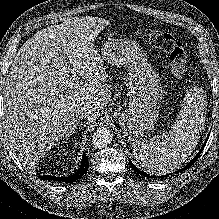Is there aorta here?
Returning <instances> with one entry per match:
<instances>
[{"instance_id":"1","label":"aorta","mask_w":219,"mask_h":219,"mask_svg":"<svg viewBox=\"0 0 219 219\" xmlns=\"http://www.w3.org/2000/svg\"><path fill=\"white\" fill-rule=\"evenodd\" d=\"M112 138V131L109 128L102 127L97 129V131L93 134L92 144L94 147L104 148L111 143Z\"/></svg>"}]
</instances>
